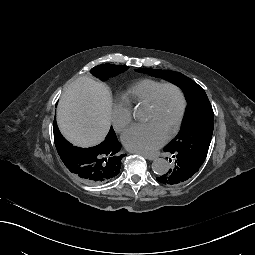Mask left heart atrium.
Here are the masks:
<instances>
[{"instance_id":"39dd6f15","label":"left heart atrium","mask_w":255,"mask_h":255,"mask_svg":"<svg viewBox=\"0 0 255 255\" xmlns=\"http://www.w3.org/2000/svg\"><path fill=\"white\" fill-rule=\"evenodd\" d=\"M122 142L130 151L152 153L166 142V137L148 123L135 124L125 131Z\"/></svg>"}]
</instances>
